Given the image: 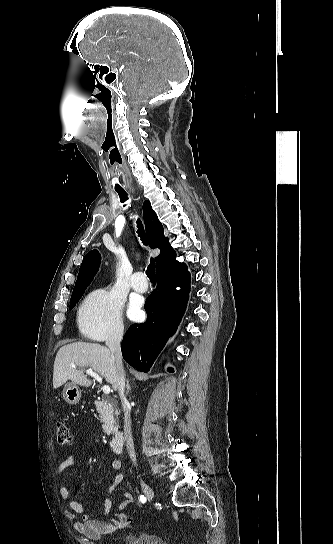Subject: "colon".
Instances as JSON below:
<instances>
[{"label": "colon", "mask_w": 333, "mask_h": 544, "mask_svg": "<svg viewBox=\"0 0 333 544\" xmlns=\"http://www.w3.org/2000/svg\"><path fill=\"white\" fill-rule=\"evenodd\" d=\"M56 441L61 446L69 445L72 441L71 432L64 421L56 422Z\"/></svg>", "instance_id": "1"}]
</instances>
